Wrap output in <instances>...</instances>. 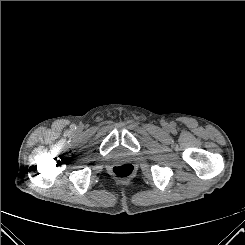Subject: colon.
Wrapping results in <instances>:
<instances>
[{
	"label": "colon",
	"mask_w": 245,
	"mask_h": 245,
	"mask_svg": "<svg viewBox=\"0 0 245 245\" xmlns=\"http://www.w3.org/2000/svg\"><path fill=\"white\" fill-rule=\"evenodd\" d=\"M112 173L116 178L126 180L133 175L134 167L130 163H121L112 168Z\"/></svg>",
	"instance_id": "1"
}]
</instances>
